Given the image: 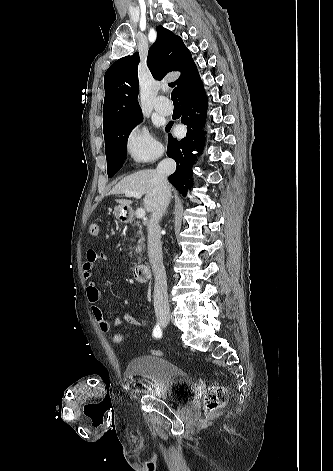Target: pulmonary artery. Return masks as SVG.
Here are the masks:
<instances>
[{
	"mask_svg": "<svg viewBox=\"0 0 333 471\" xmlns=\"http://www.w3.org/2000/svg\"><path fill=\"white\" fill-rule=\"evenodd\" d=\"M155 110L162 115H169L173 111V105L165 96H159L154 104Z\"/></svg>",
	"mask_w": 333,
	"mask_h": 471,
	"instance_id": "obj_1",
	"label": "pulmonary artery"
}]
</instances>
